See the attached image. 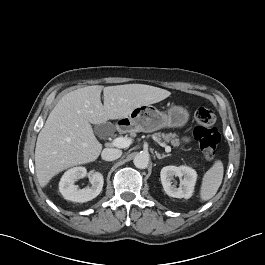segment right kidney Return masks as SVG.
I'll return each mask as SVG.
<instances>
[{"mask_svg": "<svg viewBox=\"0 0 265 265\" xmlns=\"http://www.w3.org/2000/svg\"><path fill=\"white\" fill-rule=\"evenodd\" d=\"M87 175L85 167H74L64 173L59 182V191L66 200L87 202L97 197L102 191L104 179L100 172H94L90 177L91 187L78 189L74 184Z\"/></svg>", "mask_w": 265, "mask_h": 265, "instance_id": "right-kidney-1", "label": "right kidney"}]
</instances>
